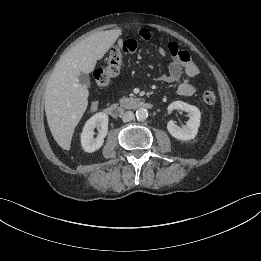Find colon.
I'll use <instances>...</instances> for the list:
<instances>
[{
  "mask_svg": "<svg viewBox=\"0 0 261 261\" xmlns=\"http://www.w3.org/2000/svg\"><path fill=\"white\" fill-rule=\"evenodd\" d=\"M122 52L123 50L120 47H114L109 53L106 65L94 71L93 76L98 85H107L113 77L119 74L122 67ZM216 99L213 90H205L202 94V100L207 105H214Z\"/></svg>",
  "mask_w": 261,
  "mask_h": 261,
  "instance_id": "1",
  "label": "colon"
}]
</instances>
